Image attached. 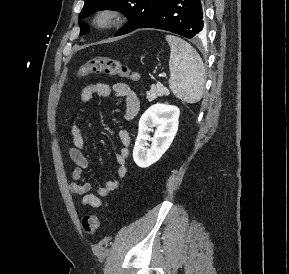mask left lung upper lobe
<instances>
[{
  "mask_svg": "<svg viewBox=\"0 0 289 274\" xmlns=\"http://www.w3.org/2000/svg\"><path fill=\"white\" fill-rule=\"evenodd\" d=\"M164 1L165 0H85L79 18H85L102 9L121 11L129 19L128 23L117 33V35H123L143 24ZM79 24L81 27L80 35H83L89 28L87 24L82 21H79Z\"/></svg>",
  "mask_w": 289,
  "mask_h": 274,
  "instance_id": "left-lung-upper-lobe-1",
  "label": "left lung upper lobe"
}]
</instances>
